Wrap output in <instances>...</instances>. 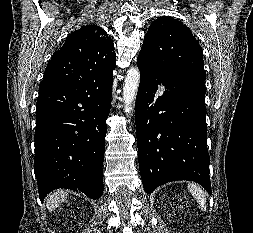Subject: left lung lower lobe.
Returning a JSON list of instances; mask_svg holds the SVG:
<instances>
[{
  "label": "left lung lower lobe",
  "mask_w": 253,
  "mask_h": 233,
  "mask_svg": "<svg viewBox=\"0 0 253 233\" xmlns=\"http://www.w3.org/2000/svg\"><path fill=\"white\" fill-rule=\"evenodd\" d=\"M137 65L135 120L144 190L150 194L167 182L190 180L211 194L204 80L170 81L142 54Z\"/></svg>",
  "instance_id": "left-lung-lower-lobe-1"
}]
</instances>
